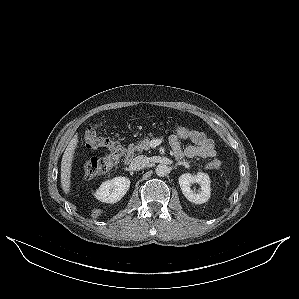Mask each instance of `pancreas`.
I'll return each instance as SVG.
<instances>
[{"instance_id": "1", "label": "pancreas", "mask_w": 299, "mask_h": 299, "mask_svg": "<svg viewBox=\"0 0 299 299\" xmlns=\"http://www.w3.org/2000/svg\"><path fill=\"white\" fill-rule=\"evenodd\" d=\"M150 148H151L150 138L149 137H144L143 140H141L140 142H138L135 145L134 150H136L138 152H142L143 150L148 151Z\"/></svg>"}]
</instances>
